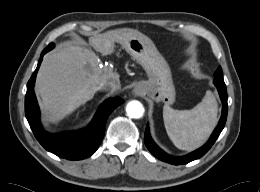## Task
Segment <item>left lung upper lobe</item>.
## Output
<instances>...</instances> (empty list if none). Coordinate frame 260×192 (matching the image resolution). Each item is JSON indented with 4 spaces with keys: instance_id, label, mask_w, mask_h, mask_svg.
I'll use <instances>...</instances> for the list:
<instances>
[{
    "instance_id": "obj_1",
    "label": "left lung upper lobe",
    "mask_w": 260,
    "mask_h": 192,
    "mask_svg": "<svg viewBox=\"0 0 260 192\" xmlns=\"http://www.w3.org/2000/svg\"><path fill=\"white\" fill-rule=\"evenodd\" d=\"M214 76H215L214 80H219V81H222V80H223V74H222V68H221V67H219V68L216 70Z\"/></svg>"
}]
</instances>
